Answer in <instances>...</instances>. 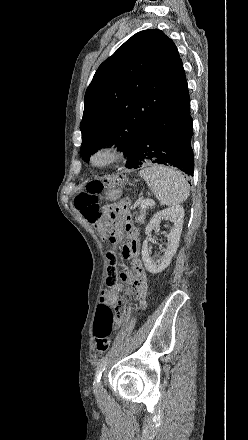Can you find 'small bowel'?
I'll return each instance as SVG.
<instances>
[{
  "instance_id": "1",
  "label": "small bowel",
  "mask_w": 248,
  "mask_h": 440,
  "mask_svg": "<svg viewBox=\"0 0 248 440\" xmlns=\"http://www.w3.org/2000/svg\"><path fill=\"white\" fill-rule=\"evenodd\" d=\"M128 204L121 205L114 219L115 233L119 238L122 232L128 236V242L122 247V256L125 259H130V270L121 273V279L132 286V293L140 301L144 303V299L148 293V279L139 258L140 255V240L137 229L134 227L130 214L127 210ZM120 266V259L118 257H111L109 264L106 266L105 284L110 288L102 292L100 302H104L115 310V319L113 328L118 329L124 319L126 312L125 301L119 296V291L122 290L120 286V277L117 275ZM127 293V291H124Z\"/></svg>"
}]
</instances>
